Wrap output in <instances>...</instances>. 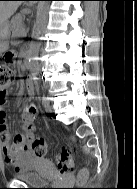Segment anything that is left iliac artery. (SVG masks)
<instances>
[{
    "label": "left iliac artery",
    "instance_id": "44dca946",
    "mask_svg": "<svg viewBox=\"0 0 137 189\" xmlns=\"http://www.w3.org/2000/svg\"><path fill=\"white\" fill-rule=\"evenodd\" d=\"M49 99H50V98H49V97H46V96H43V97H42V101H43V102H48Z\"/></svg>",
    "mask_w": 137,
    "mask_h": 189
}]
</instances>
